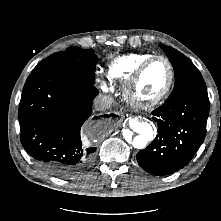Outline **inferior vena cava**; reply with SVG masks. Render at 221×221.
<instances>
[{"label":"inferior vena cava","instance_id":"obj_1","mask_svg":"<svg viewBox=\"0 0 221 221\" xmlns=\"http://www.w3.org/2000/svg\"><path fill=\"white\" fill-rule=\"evenodd\" d=\"M113 98L110 95H98L94 100V108L97 111H104L111 108Z\"/></svg>","mask_w":221,"mask_h":221}]
</instances>
